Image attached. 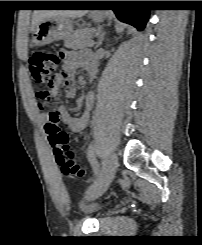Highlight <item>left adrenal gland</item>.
Masks as SVG:
<instances>
[{"label":"left adrenal gland","instance_id":"1","mask_svg":"<svg viewBox=\"0 0 202 245\" xmlns=\"http://www.w3.org/2000/svg\"><path fill=\"white\" fill-rule=\"evenodd\" d=\"M104 35H105V32H102V33L99 35V40H98V42H97L96 47H99V46L102 45L103 40H104Z\"/></svg>","mask_w":202,"mask_h":245}]
</instances>
